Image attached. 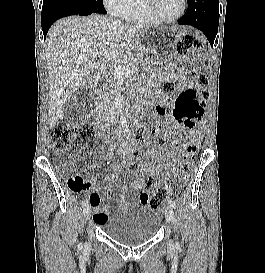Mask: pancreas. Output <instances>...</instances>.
<instances>
[{
  "label": "pancreas",
  "instance_id": "1",
  "mask_svg": "<svg viewBox=\"0 0 265 273\" xmlns=\"http://www.w3.org/2000/svg\"><path fill=\"white\" fill-rule=\"evenodd\" d=\"M117 65H121L125 69L130 68L134 74L146 65V61L143 60V55L140 53H127L117 61ZM121 85L120 78L112 74L109 85L100 92L101 98L97 102L98 110H111L113 108V100L121 90Z\"/></svg>",
  "mask_w": 265,
  "mask_h": 273
}]
</instances>
